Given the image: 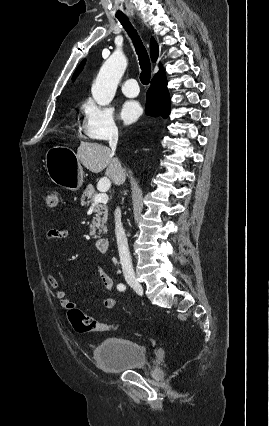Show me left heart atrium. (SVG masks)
<instances>
[{
    "mask_svg": "<svg viewBox=\"0 0 269 426\" xmlns=\"http://www.w3.org/2000/svg\"><path fill=\"white\" fill-rule=\"evenodd\" d=\"M142 108L137 101L128 100L123 103L120 110V118L126 124L135 122L141 115Z\"/></svg>",
    "mask_w": 269,
    "mask_h": 426,
    "instance_id": "39dd6f15",
    "label": "left heart atrium"
}]
</instances>
